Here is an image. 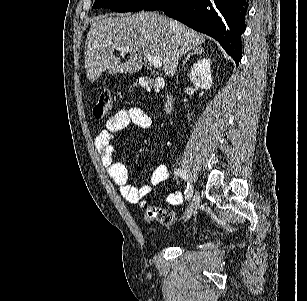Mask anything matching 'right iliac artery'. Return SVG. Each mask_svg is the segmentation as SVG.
<instances>
[{
    "label": "right iliac artery",
    "mask_w": 307,
    "mask_h": 301,
    "mask_svg": "<svg viewBox=\"0 0 307 301\" xmlns=\"http://www.w3.org/2000/svg\"><path fill=\"white\" fill-rule=\"evenodd\" d=\"M174 173L180 175L183 179H186L187 178V175H186V172L180 168H176L174 170ZM188 186H189V183L187 184V189L185 190L184 194H185V197L186 199L189 201L192 197V191L191 190H188Z\"/></svg>",
    "instance_id": "obj_1"
}]
</instances>
